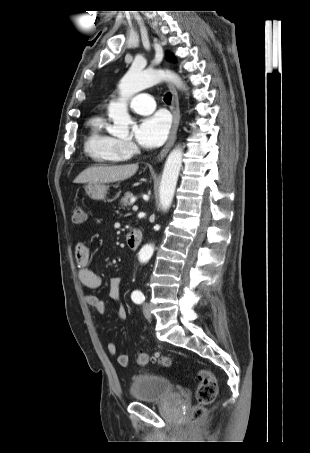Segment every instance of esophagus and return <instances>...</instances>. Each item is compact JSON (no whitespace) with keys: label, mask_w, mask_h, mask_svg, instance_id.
I'll return each instance as SVG.
<instances>
[{"label":"esophagus","mask_w":310,"mask_h":453,"mask_svg":"<svg viewBox=\"0 0 310 453\" xmlns=\"http://www.w3.org/2000/svg\"><path fill=\"white\" fill-rule=\"evenodd\" d=\"M168 87L172 93L171 111L173 114V124H172L171 130H170L168 141L158 155L159 160H162L166 156V154L169 152L171 147L173 146V144L176 140L177 129H178L179 122H180V109H179L178 93H177L175 87L171 83L168 84Z\"/></svg>","instance_id":"esophagus-1"}]
</instances>
